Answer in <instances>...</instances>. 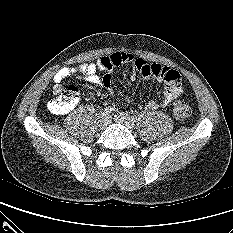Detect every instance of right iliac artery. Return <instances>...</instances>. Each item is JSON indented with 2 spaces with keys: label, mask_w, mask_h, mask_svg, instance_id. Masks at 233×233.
I'll list each match as a JSON object with an SVG mask.
<instances>
[{
  "label": "right iliac artery",
  "mask_w": 233,
  "mask_h": 233,
  "mask_svg": "<svg viewBox=\"0 0 233 233\" xmlns=\"http://www.w3.org/2000/svg\"><path fill=\"white\" fill-rule=\"evenodd\" d=\"M113 111V108H111V107H107V108H105L104 109V113L103 114H110L111 112Z\"/></svg>",
  "instance_id": "obj_1"
}]
</instances>
